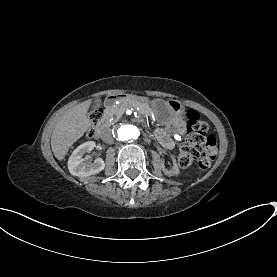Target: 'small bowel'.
Listing matches in <instances>:
<instances>
[{"label": "small bowel", "mask_w": 277, "mask_h": 277, "mask_svg": "<svg viewBox=\"0 0 277 277\" xmlns=\"http://www.w3.org/2000/svg\"><path fill=\"white\" fill-rule=\"evenodd\" d=\"M183 134H184V129L182 127H179L176 132V137L179 138ZM156 135H157V138L159 139V141L161 142V144L165 148L171 149L174 147V145H175L174 138L169 133H167L165 130L158 129L156 132Z\"/></svg>", "instance_id": "small-bowel-1"}]
</instances>
